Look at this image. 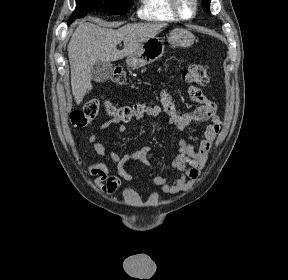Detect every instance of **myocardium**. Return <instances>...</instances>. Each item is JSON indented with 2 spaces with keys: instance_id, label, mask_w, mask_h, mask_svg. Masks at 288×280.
<instances>
[{
  "instance_id": "obj_1",
  "label": "myocardium",
  "mask_w": 288,
  "mask_h": 280,
  "mask_svg": "<svg viewBox=\"0 0 288 280\" xmlns=\"http://www.w3.org/2000/svg\"><path fill=\"white\" fill-rule=\"evenodd\" d=\"M190 1L192 3L193 9L189 16H185L183 15L180 9V0H170L172 11L178 19L188 21V20L193 19L197 15L198 0H190Z\"/></svg>"
}]
</instances>
